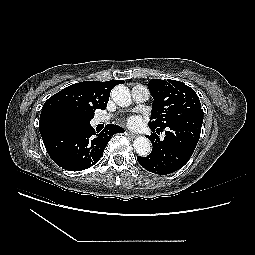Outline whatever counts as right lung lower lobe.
I'll return each mask as SVG.
<instances>
[{"mask_svg": "<svg viewBox=\"0 0 255 255\" xmlns=\"http://www.w3.org/2000/svg\"><path fill=\"white\" fill-rule=\"evenodd\" d=\"M118 132H124V129L108 124L96 133L90 122L73 131L54 125L40 129L49 156L58 166L69 171L85 170L97 163L111 136Z\"/></svg>", "mask_w": 255, "mask_h": 255, "instance_id": "98d812e1", "label": "right lung lower lobe"}]
</instances>
